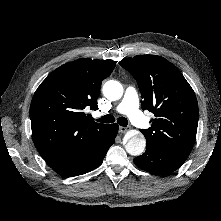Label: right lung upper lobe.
Returning <instances> with one entry per match:
<instances>
[{
  "instance_id": "obj_1",
  "label": "right lung upper lobe",
  "mask_w": 221,
  "mask_h": 221,
  "mask_svg": "<svg viewBox=\"0 0 221 221\" xmlns=\"http://www.w3.org/2000/svg\"><path fill=\"white\" fill-rule=\"evenodd\" d=\"M116 62L79 59L54 70L36 90L30 119L33 142L50 167L93 150L108 125L90 121L84 111L96 110L102 81Z\"/></svg>"
}]
</instances>
